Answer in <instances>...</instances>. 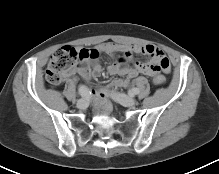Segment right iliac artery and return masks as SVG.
Instances as JSON below:
<instances>
[{
	"label": "right iliac artery",
	"instance_id": "1",
	"mask_svg": "<svg viewBox=\"0 0 219 174\" xmlns=\"http://www.w3.org/2000/svg\"><path fill=\"white\" fill-rule=\"evenodd\" d=\"M78 91L83 98L88 99L90 97L91 93L86 86L80 85Z\"/></svg>",
	"mask_w": 219,
	"mask_h": 174
}]
</instances>
